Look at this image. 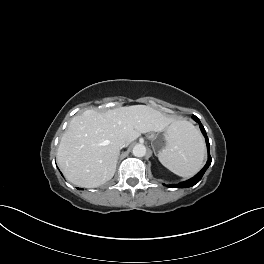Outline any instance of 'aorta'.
Segmentation results:
<instances>
[{
	"instance_id": "obj_1",
	"label": "aorta",
	"mask_w": 264,
	"mask_h": 264,
	"mask_svg": "<svg viewBox=\"0 0 264 264\" xmlns=\"http://www.w3.org/2000/svg\"><path fill=\"white\" fill-rule=\"evenodd\" d=\"M146 147L142 144H137L133 147L132 153L136 157H143L146 155Z\"/></svg>"
}]
</instances>
